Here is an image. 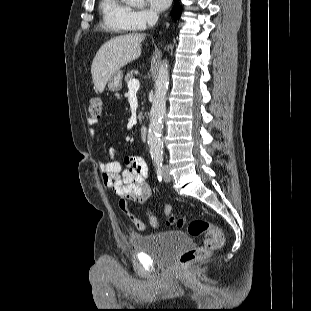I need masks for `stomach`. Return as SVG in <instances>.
Returning a JSON list of instances; mask_svg holds the SVG:
<instances>
[{"instance_id":"obj_1","label":"stomach","mask_w":311,"mask_h":311,"mask_svg":"<svg viewBox=\"0 0 311 311\" xmlns=\"http://www.w3.org/2000/svg\"><path fill=\"white\" fill-rule=\"evenodd\" d=\"M122 88V73L118 71L108 81V89L111 91H119Z\"/></svg>"}]
</instances>
